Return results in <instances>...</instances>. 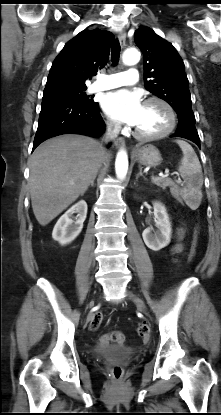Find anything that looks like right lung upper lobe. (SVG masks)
<instances>
[{
    "instance_id": "cb5924a9",
    "label": "right lung upper lobe",
    "mask_w": 221,
    "mask_h": 415,
    "mask_svg": "<svg viewBox=\"0 0 221 415\" xmlns=\"http://www.w3.org/2000/svg\"><path fill=\"white\" fill-rule=\"evenodd\" d=\"M113 39L109 31L85 29L67 42L52 64L44 95L86 88L85 80L106 65Z\"/></svg>"
}]
</instances>
